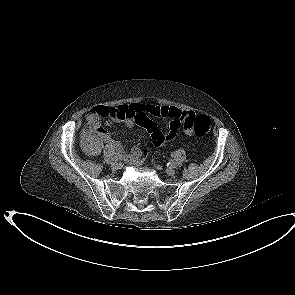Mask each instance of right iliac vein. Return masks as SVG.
<instances>
[{
	"instance_id": "63e3f726",
	"label": "right iliac vein",
	"mask_w": 295,
	"mask_h": 295,
	"mask_svg": "<svg viewBox=\"0 0 295 295\" xmlns=\"http://www.w3.org/2000/svg\"><path fill=\"white\" fill-rule=\"evenodd\" d=\"M120 163L119 162H112V164H111V168L113 169V170H118V169H120Z\"/></svg>"
}]
</instances>
